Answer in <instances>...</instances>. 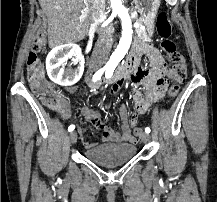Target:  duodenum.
<instances>
[{
	"instance_id": "410a0bca",
	"label": "duodenum",
	"mask_w": 217,
	"mask_h": 202,
	"mask_svg": "<svg viewBox=\"0 0 217 202\" xmlns=\"http://www.w3.org/2000/svg\"><path fill=\"white\" fill-rule=\"evenodd\" d=\"M140 59V52L133 47L128 58L113 74L106 76L103 80L90 83L92 87L99 88L103 85H113L118 81L128 78L135 71V68Z\"/></svg>"
}]
</instances>
